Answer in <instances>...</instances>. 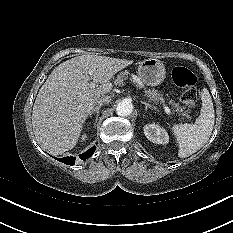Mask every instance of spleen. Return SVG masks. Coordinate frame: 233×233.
<instances>
[{
  "mask_svg": "<svg viewBox=\"0 0 233 233\" xmlns=\"http://www.w3.org/2000/svg\"><path fill=\"white\" fill-rule=\"evenodd\" d=\"M202 107L194 124H175L172 131L178 143V156L189 157L200 150L209 140L215 121V114L209 91L201 92Z\"/></svg>",
  "mask_w": 233,
  "mask_h": 233,
  "instance_id": "3e777b00",
  "label": "spleen"
}]
</instances>
